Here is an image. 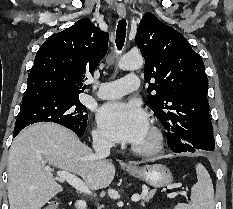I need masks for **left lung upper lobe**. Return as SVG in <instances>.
<instances>
[{
    "mask_svg": "<svg viewBox=\"0 0 233 209\" xmlns=\"http://www.w3.org/2000/svg\"><path fill=\"white\" fill-rule=\"evenodd\" d=\"M135 43L145 58L149 107L167 130L196 149L213 151L208 79L204 63L175 29L147 12L139 23ZM155 79V83H150Z\"/></svg>",
    "mask_w": 233,
    "mask_h": 209,
    "instance_id": "obj_1",
    "label": "left lung upper lobe"
}]
</instances>
